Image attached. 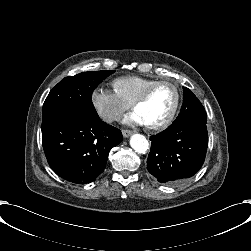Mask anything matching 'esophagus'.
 Listing matches in <instances>:
<instances>
[{
    "label": "esophagus",
    "instance_id": "1",
    "mask_svg": "<svg viewBox=\"0 0 251 251\" xmlns=\"http://www.w3.org/2000/svg\"><path fill=\"white\" fill-rule=\"evenodd\" d=\"M132 134H133V131H131V130H122V135H123L125 138L130 137Z\"/></svg>",
    "mask_w": 251,
    "mask_h": 251
}]
</instances>
